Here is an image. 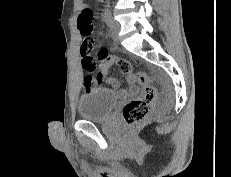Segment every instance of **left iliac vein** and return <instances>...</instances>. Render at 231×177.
Returning a JSON list of instances; mask_svg holds the SVG:
<instances>
[{
    "label": "left iliac vein",
    "instance_id": "obj_1",
    "mask_svg": "<svg viewBox=\"0 0 231 177\" xmlns=\"http://www.w3.org/2000/svg\"><path fill=\"white\" fill-rule=\"evenodd\" d=\"M109 28H110V32H111V36H112L113 40L115 42H117L118 41V33L120 31L119 23L111 18V21L109 23Z\"/></svg>",
    "mask_w": 231,
    "mask_h": 177
}]
</instances>
